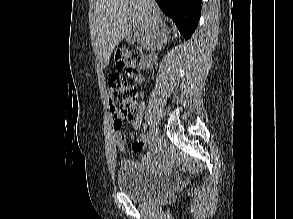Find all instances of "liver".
I'll return each instance as SVG.
<instances>
[{"label":"liver","mask_w":293,"mask_h":219,"mask_svg":"<svg viewBox=\"0 0 293 219\" xmlns=\"http://www.w3.org/2000/svg\"><path fill=\"white\" fill-rule=\"evenodd\" d=\"M93 48L105 68L114 48L138 29L136 41L143 49L161 50L169 30L155 0H97Z\"/></svg>","instance_id":"liver-1"}]
</instances>
